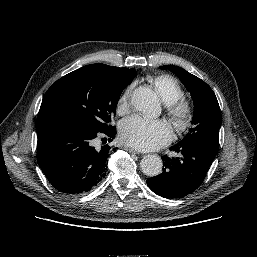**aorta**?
Masks as SVG:
<instances>
[{"label":"aorta","mask_w":257,"mask_h":257,"mask_svg":"<svg viewBox=\"0 0 257 257\" xmlns=\"http://www.w3.org/2000/svg\"><path fill=\"white\" fill-rule=\"evenodd\" d=\"M131 103L139 112L151 116L160 109L158 95L150 88L140 86L131 96ZM162 160L159 156L148 154L140 162L142 172L146 176L154 177L162 171Z\"/></svg>","instance_id":"1"}]
</instances>
